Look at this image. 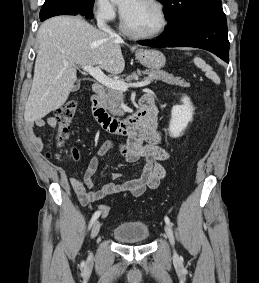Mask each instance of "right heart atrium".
<instances>
[{
	"label": "right heart atrium",
	"instance_id": "1",
	"mask_svg": "<svg viewBox=\"0 0 259 283\" xmlns=\"http://www.w3.org/2000/svg\"><path fill=\"white\" fill-rule=\"evenodd\" d=\"M93 12L97 19L111 22L116 18L117 9L111 0H94Z\"/></svg>",
	"mask_w": 259,
	"mask_h": 283
}]
</instances>
